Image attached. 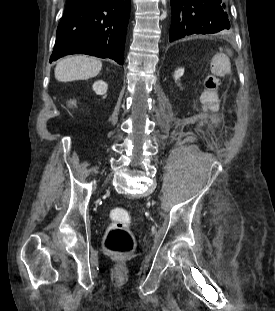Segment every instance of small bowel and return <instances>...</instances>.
<instances>
[{
    "label": "small bowel",
    "instance_id": "c3829d8e",
    "mask_svg": "<svg viewBox=\"0 0 275 311\" xmlns=\"http://www.w3.org/2000/svg\"><path fill=\"white\" fill-rule=\"evenodd\" d=\"M225 55L209 56V69L205 73V80L199 81L201 93L199 102L202 112H221L222 94L220 81L227 80V71L231 67V62H237L238 57L235 50L224 48ZM229 73V72H228Z\"/></svg>",
    "mask_w": 275,
    "mask_h": 311
}]
</instances>
